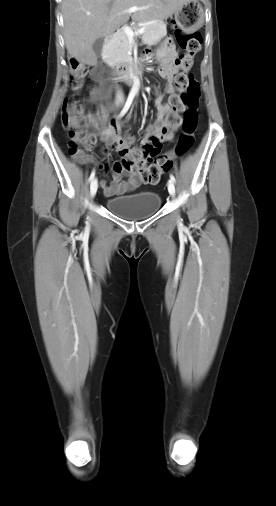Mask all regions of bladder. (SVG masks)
Wrapping results in <instances>:
<instances>
[{"instance_id": "31cf9c89", "label": "bladder", "mask_w": 276, "mask_h": 506, "mask_svg": "<svg viewBox=\"0 0 276 506\" xmlns=\"http://www.w3.org/2000/svg\"><path fill=\"white\" fill-rule=\"evenodd\" d=\"M162 203L161 196L153 191H137L131 194L108 198L107 208L114 214L126 219H141L158 211Z\"/></svg>"}]
</instances>
